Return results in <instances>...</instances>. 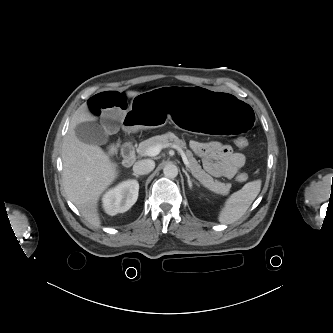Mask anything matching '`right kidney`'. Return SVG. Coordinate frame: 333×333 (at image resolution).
I'll return each mask as SVG.
<instances>
[{
  "label": "right kidney",
  "instance_id": "right-kidney-1",
  "mask_svg": "<svg viewBox=\"0 0 333 333\" xmlns=\"http://www.w3.org/2000/svg\"><path fill=\"white\" fill-rule=\"evenodd\" d=\"M139 183L134 179L121 182L107 191L102 198L103 208L109 215L124 213L137 201Z\"/></svg>",
  "mask_w": 333,
  "mask_h": 333
}]
</instances>
